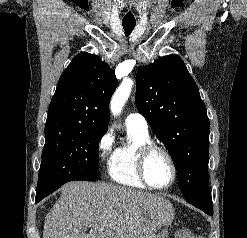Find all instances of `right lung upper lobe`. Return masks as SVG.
<instances>
[{"label": "right lung upper lobe", "mask_w": 247, "mask_h": 238, "mask_svg": "<svg viewBox=\"0 0 247 238\" xmlns=\"http://www.w3.org/2000/svg\"><path fill=\"white\" fill-rule=\"evenodd\" d=\"M116 86V76L107 63L95 54H77L59 79L45 134L80 127L107 130L109 101Z\"/></svg>", "instance_id": "obj_1"}]
</instances>
